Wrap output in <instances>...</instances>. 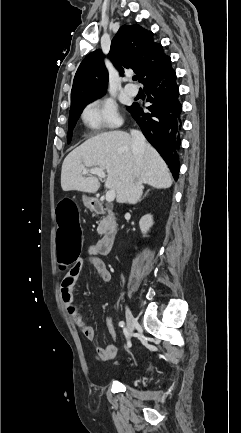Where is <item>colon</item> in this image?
I'll return each instance as SVG.
<instances>
[{
    "mask_svg": "<svg viewBox=\"0 0 241 433\" xmlns=\"http://www.w3.org/2000/svg\"><path fill=\"white\" fill-rule=\"evenodd\" d=\"M79 212V205H74L71 197H62L57 212L53 214L54 221H58L55 233L59 247L56 257L58 270H71L78 261V252L83 246Z\"/></svg>",
    "mask_w": 241,
    "mask_h": 433,
    "instance_id": "5ec220e1",
    "label": "colon"
}]
</instances>
